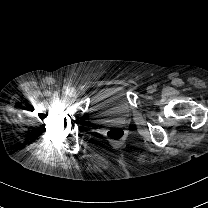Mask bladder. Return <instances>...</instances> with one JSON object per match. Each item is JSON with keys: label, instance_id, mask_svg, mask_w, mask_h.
Masks as SVG:
<instances>
[{"label": "bladder", "instance_id": "1", "mask_svg": "<svg viewBox=\"0 0 208 208\" xmlns=\"http://www.w3.org/2000/svg\"><path fill=\"white\" fill-rule=\"evenodd\" d=\"M123 103L124 100L118 90L107 88L104 93L96 96L92 110L94 115H124Z\"/></svg>", "mask_w": 208, "mask_h": 208}]
</instances>
